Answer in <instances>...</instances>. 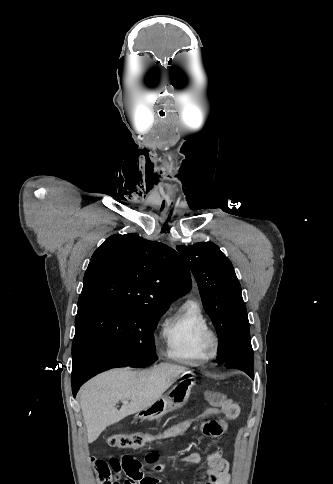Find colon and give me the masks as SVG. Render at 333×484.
Here are the masks:
<instances>
[{
	"label": "colon",
	"instance_id": "obj_1",
	"mask_svg": "<svg viewBox=\"0 0 333 484\" xmlns=\"http://www.w3.org/2000/svg\"><path fill=\"white\" fill-rule=\"evenodd\" d=\"M217 410L213 407L207 408L199 414L183 418L157 435L133 433V434H113L108 437L107 442L110 446L118 448L141 447L155 440H171L185 435L199 425L207 422L214 416ZM98 484H113L109 468L100 460L93 461Z\"/></svg>",
	"mask_w": 333,
	"mask_h": 484
}]
</instances>
